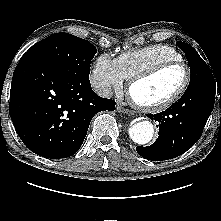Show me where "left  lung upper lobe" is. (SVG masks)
I'll use <instances>...</instances> for the list:
<instances>
[{
	"mask_svg": "<svg viewBox=\"0 0 221 221\" xmlns=\"http://www.w3.org/2000/svg\"><path fill=\"white\" fill-rule=\"evenodd\" d=\"M177 45L181 50L184 51L190 66L191 78L188 88L214 79L209 66L204 62V60L191 45L183 42H177Z\"/></svg>",
	"mask_w": 221,
	"mask_h": 221,
	"instance_id": "1",
	"label": "left lung upper lobe"
}]
</instances>
